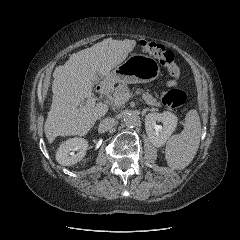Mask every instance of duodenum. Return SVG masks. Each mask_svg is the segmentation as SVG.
Segmentation results:
<instances>
[{"label":"duodenum","mask_w":240,"mask_h":240,"mask_svg":"<svg viewBox=\"0 0 240 240\" xmlns=\"http://www.w3.org/2000/svg\"><path fill=\"white\" fill-rule=\"evenodd\" d=\"M97 91H98L99 93H104V92L106 91V87H105V86L98 87V88H97Z\"/></svg>","instance_id":"duodenum-1"}]
</instances>
